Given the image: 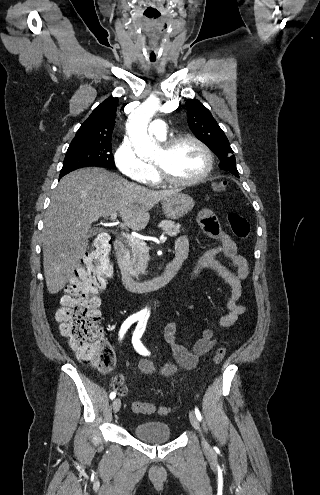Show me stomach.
<instances>
[{
	"instance_id": "stomach-1",
	"label": "stomach",
	"mask_w": 320,
	"mask_h": 495,
	"mask_svg": "<svg viewBox=\"0 0 320 495\" xmlns=\"http://www.w3.org/2000/svg\"><path fill=\"white\" fill-rule=\"evenodd\" d=\"M195 205L186 194L176 192L162 201V209L168 219L176 220L189 213Z\"/></svg>"
}]
</instances>
